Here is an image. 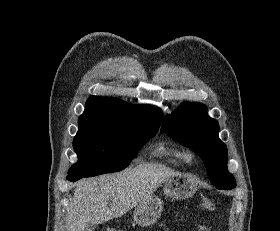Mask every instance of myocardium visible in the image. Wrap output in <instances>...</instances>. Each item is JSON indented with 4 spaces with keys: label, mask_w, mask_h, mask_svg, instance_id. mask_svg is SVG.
<instances>
[{
    "label": "myocardium",
    "mask_w": 280,
    "mask_h": 231,
    "mask_svg": "<svg viewBox=\"0 0 280 231\" xmlns=\"http://www.w3.org/2000/svg\"><path fill=\"white\" fill-rule=\"evenodd\" d=\"M183 160L187 165L193 166L198 161V154L193 149H187L183 153Z\"/></svg>",
    "instance_id": "1"
}]
</instances>
